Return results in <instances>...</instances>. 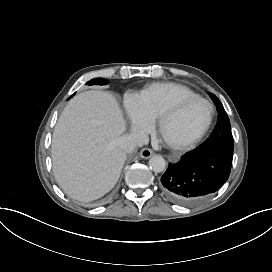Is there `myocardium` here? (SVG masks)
Here are the masks:
<instances>
[{"label":"myocardium","mask_w":272,"mask_h":272,"mask_svg":"<svg viewBox=\"0 0 272 272\" xmlns=\"http://www.w3.org/2000/svg\"><path fill=\"white\" fill-rule=\"evenodd\" d=\"M194 102H199L202 103L205 108H206V118L204 123L194 132L183 135V136H178L176 137V143L180 146H186L200 138L210 127L212 119H213V113H214V108L211 102H209L207 99L195 95V96H190V97H184L182 98L178 103H176L173 108L171 114L163 113L161 116V129L163 134L167 137L168 133V120L170 117H173L185 110V108L190 105L191 103Z\"/></svg>","instance_id":"obj_1"}]
</instances>
